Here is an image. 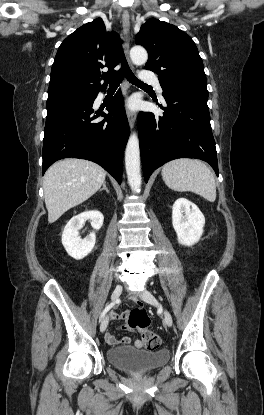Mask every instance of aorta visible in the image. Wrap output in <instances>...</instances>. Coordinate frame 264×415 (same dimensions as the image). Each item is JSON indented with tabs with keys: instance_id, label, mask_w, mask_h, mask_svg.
<instances>
[{
	"instance_id": "aorta-1",
	"label": "aorta",
	"mask_w": 264,
	"mask_h": 415,
	"mask_svg": "<svg viewBox=\"0 0 264 415\" xmlns=\"http://www.w3.org/2000/svg\"><path fill=\"white\" fill-rule=\"evenodd\" d=\"M130 57L133 63L143 64L148 59L147 51L140 46H135L130 50ZM125 167L128 183L133 192H140L141 173H140V150L139 140L136 133L129 137L125 150Z\"/></svg>"
}]
</instances>
